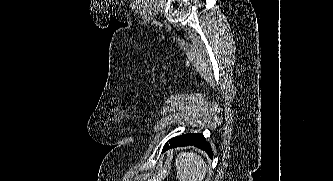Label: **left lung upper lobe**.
<instances>
[{
    "label": "left lung upper lobe",
    "mask_w": 333,
    "mask_h": 181,
    "mask_svg": "<svg viewBox=\"0 0 333 181\" xmlns=\"http://www.w3.org/2000/svg\"><path fill=\"white\" fill-rule=\"evenodd\" d=\"M175 138H176V137H175ZM175 138H172L171 140H169V142L172 141V140L175 139Z\"/></svg>",
    "instance_id": "obj_1"
}]
</instances>
